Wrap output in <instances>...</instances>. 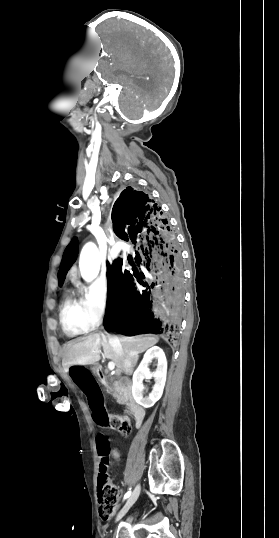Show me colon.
I'll return each instance as SVG.
<instances>
[{
    "label": "colon",
    "instance_id": "5ec220e1",
    "mask_svg": "<svg viewBox=\"0 0 279 538\" xmlns=\"http://www.w3.org/2000/svg\"><path fill=\"white\" fill-rule=\"evenodd\" d=\"M108 427L123 434L131 433L133 426L125 416H112L107 422ZM96 446L100 458L98 475V500L99 513L102 519L110 520L115 514L119 493L116 487L110 482L107 468L110 460L111 448L108 439L104 435H98Z\"/></svg>",
    "mask_w": 279,
    "mask_h": 538
}]
</instances>
